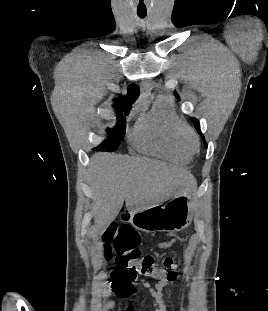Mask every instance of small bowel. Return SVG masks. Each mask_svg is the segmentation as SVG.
Wrapping results in <instances>:
<instances>
[{
    "label": "small bowel",
    "instance_id": "small-bowel-1",
    "mask_svg": "<svg viewBox=\"0 0 268 311\" xmlns=\"http://www.w3.org/2000/svg\"><path fill=\"white\" fill-rule=\"evenodd\" d=\"M176 240L177 239L174 238L171 240L159 242L157 244V247L159 249H168L176 242ZM176 280H177L176 277L171 278V279L160 278L156 283L152 284L148 282L146 279L141 278L138 284L142 288H144L148 292L150 297L152 298V305L154 307V311H166V306L163 300V291L166 287L173 285L176 282ZM135 293H133L130 296H133ZM116 295L119 296L117 293ZM114 306H115V302L113 300H109L103 305V307L101 308V311H108L114 308ZM126 311H137V307L135 304H132L128 306ZM181 311H186V308L182 307Z\"/></svg>",
    "mask_w": 268,
    "mask_h": 311
}]
</instances>
